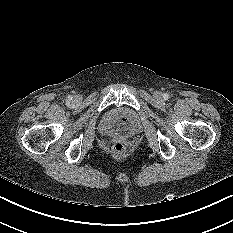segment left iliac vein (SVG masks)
Segmentation results:
<instances>
[{"label":"left iliac vein","instance_id":"1","mask_svg":"<svg viewBox=\"0 0 233 233\" xmlns=\"http://www.w3.org/2000/svg\"><path fill=\"white\" fill-rule=\"evenodd\" d=\"M155 97H156L157 99L161 100V99H162V94H161L160 92H157V93L155 94Z\"/></svg>","mask_w":233,"mask_h":233}]
</instances>
